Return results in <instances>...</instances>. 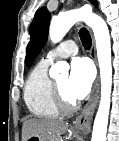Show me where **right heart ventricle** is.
<instances>
[{
    "instance_id": "e07e8e85",
    "label": "right heart ventricle",
    "mask_w": 119,
    "mask_h": 141,
    "mask_svg": "<svg viewBox=\"0 0 119 141\" xmlns=\"http://www.w3.org/2000/svg\"><path fill=\"white\" fill-rule=\"evenodd\" d=\"M49 62L41 60L30 72L25 87L24 100L30 113L42 119L59 116L52 100V80L48 75Z\"/></svg>"
}]
</instances>
